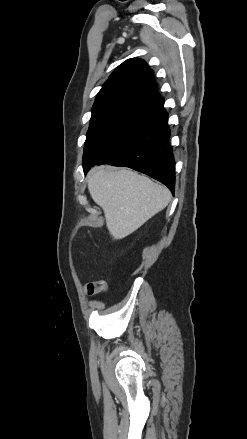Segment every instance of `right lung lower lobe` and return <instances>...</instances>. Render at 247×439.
<instances>
[{
	"label": "right lung lower lobe",
	"instance_id": "1",
	"mask_svg": "<svg viewBox=\"0 0 247 439\" xmlns=\"http://www.w3.org/2000/svg\"><path fill=\"white\" fill-rule=\"evenodd\" d=\"M168 114L157 112L142 128L124 143L107 153L95 164L124 166L143 172L165 184L174 194L175 161L168 144ZM95 164L84 166V172Z\"/></svg>",
	"mask_w": 247,
	"mask_h": 439
}]
</instances>
